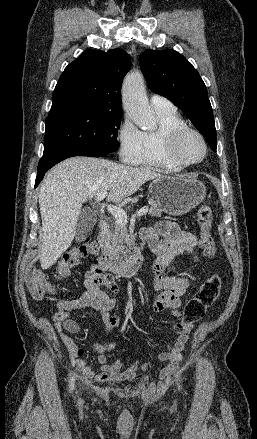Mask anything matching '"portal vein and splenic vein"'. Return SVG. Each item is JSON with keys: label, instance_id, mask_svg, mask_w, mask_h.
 <instances>
[{"label": "portal vein and splenic vein", "instance_id": "portal-vein-and-splenic-vein-1", "mask_svg": "<svg viewBox=\"0 0 257 439\" xmlns=\"http://www.w3.org/2000/svg\"><path fill=\"white\" fill-rule=\"evenodd\" d=\"M106 196H107V190H102V191L97 193L95 198L97 201H101ZM107 210L115 217V219L120 224H127V215H126V212L122 208H119V207L113 206V205H107ZM148 210H149L148 206L142 207L139 211H137V216L139 217V216L147 214Z\"/></svg>", "mask_w": 257, "mask_h": 439}]
</instances>
